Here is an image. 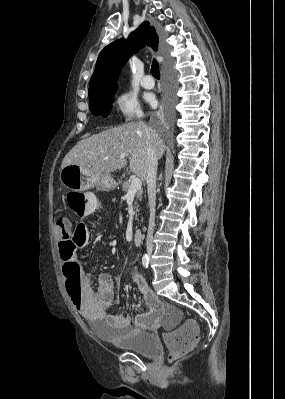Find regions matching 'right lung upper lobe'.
<instances>
[{
    "instance_id": "1",
    "label": "right lung upper lobe",
    "mask_w": 285,
    "mask_h": 399,
    "mask_svg": "<svg viewBox=\"0 0 285 399\" xmlns=\"http://www.w3.org/2000/svg\"><path fill=\"white\" fill-rule=\"evenodd\" d=\"M158 41L155 28L145 21L129 35L127 40L122 38L107 45L98 56L90 80L89 99L104 93L116 92L121 67L129 56L146 44L157 50Z\"/></svg>"
}]
</instances>
